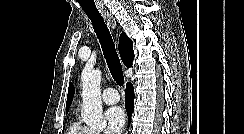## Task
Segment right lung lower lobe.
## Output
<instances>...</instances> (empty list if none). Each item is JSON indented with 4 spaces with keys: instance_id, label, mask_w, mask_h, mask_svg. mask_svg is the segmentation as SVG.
Here are the masks:
<instances>
[{
    "instance_id": "98d812e1",
    "label": "right lung lower lobe",
    "mask_w": 244,
    "mask_h": 134,
    "mask_svg": "<svg viewBox=\"0 0 244 134\" xmlns=\"http://www.w3.org/2000/svg\"><path fill=\"white\" fill-rule=\"evenodd\" d=\"M125 93H126L125 108H126V112L128 114V120H129V125H130L131 115H132L133 108H134V91H133L132 84L129 82L126 84Z\"/></svg>"
}]
</instances>
